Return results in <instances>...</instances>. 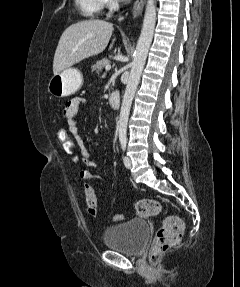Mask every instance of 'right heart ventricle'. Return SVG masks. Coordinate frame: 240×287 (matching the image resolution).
Here are the masks:
<instances>
[{"label": "right heart ventricle", "instance_id": "obj_1", "mask_svg": "<svg viewBox=\"0 0 240 287\" xmlns=\"http://www.w3.org/2000/svg\"><path fill=\"white\" fill-rule=\"evenodd\" d=\"M80 13L87 18H94L100 15L103 8L102 0H75Z\"/></svg>", "mask_w": 240, "mask_h": 287}]
</instances>
